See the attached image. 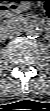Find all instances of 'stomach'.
<instances>
[{"mask_svg": "<svg viewBox=\"0 0 50 111\" xmlns=\"http://www.w3.org/2000/svg\"><path fill=\"white\" fill-rule=\"evenodd\" d=\"M32 0H19V2H8L0 4V12L3 16H14L30 9Z\"/></svg>", "mask_w": 50, "mask_h": 111, "instance_id": "obj_1", "label": "stomach"}]
</instances>
